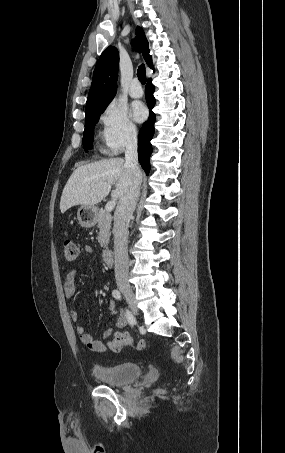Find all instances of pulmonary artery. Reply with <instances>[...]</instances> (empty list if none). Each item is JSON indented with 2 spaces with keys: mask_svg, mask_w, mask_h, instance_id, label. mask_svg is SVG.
I'll return each mask as SVG.
<instances>
[{
  "mask_svg": "<svg viewBox=\"0 0 285 453\" xmlns=\"http://www.w3.org/2000/svg\"><path fill=\"white\" fill-rule=\"evenodd\" d=\"M129 94L133 98H140L143 96V89L137 78L133 79L131 86H130Z\"/></svg>",
  "mask_w": 285,
  "mask_h": 453,
  "instance_id": "e3ab8cb5",
  "label": "pulmonary artery"
}]
</instances>
